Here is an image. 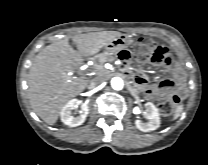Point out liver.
Returning <instances> with one entry per match:
<instances>
[{
    "label": "liver",
    "mask_w": 208,
    "mask_h": 165,
    "mask_svg": "<svg viewBox=\"0 0 208 165\" xmlns=\"http://www.w3.org/2000/svg\"><path fill=\"white\" fill-rule=\"evenodd\" d=\"M121 35L118 31L79 34L72 37L77 50L70 46L68 39L42 49L28 74V98L34 112L47 124H55L64 104L88 84L86 79L73 76L75 68L92 51L100 50Z\"/></svg>",
    "instance_id": "obj_1"
}]
</instances>
